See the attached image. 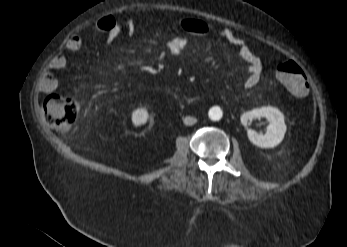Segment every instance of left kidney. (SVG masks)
I'll return each mask as SVG.
<instances>
[{"instance_id":"obj_1","label":"left kidney","mask_w":347,"mask_h":247,"mask_svg":"<svg viewBox=\"0 0 347 247\" xmlns=\"http://www.w3.org/2000/svg\"><path fill=\"white\" fill-rule=\"evenodd\" d=\"M266 118L269 121L266 133L259 134L252 129L247 130L249 140L261 148H274L284 138L286 133V124L284 115L275 107L256 108L252 111L245 112L241 116V122L247 126L253 119Z\"/></svg>"}]
</instances>
